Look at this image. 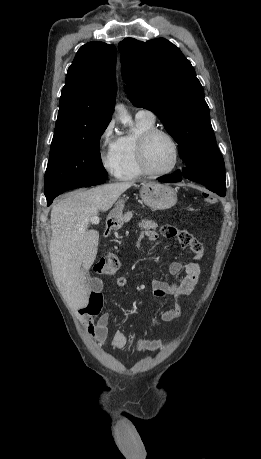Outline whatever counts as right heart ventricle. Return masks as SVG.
I'll return each mask as SVG.
<instances>
[{"label":"right heart ventricle","mask_w":261,"mask_h":459,"mask_svg":"<svg viewBox=\"0 0 261 459\" xmlns=\"http://www.w3.org/2000/svg\"><path fill=\"white\" fill-rule=\"evenodd\" d=\"M152 128H155V120L136 118L133 131L116 140L119 159L118 178L132 180L144 175L138 163L137 144L140 136Z\"/></svg>","instance_id":"1"}]
</instances>
